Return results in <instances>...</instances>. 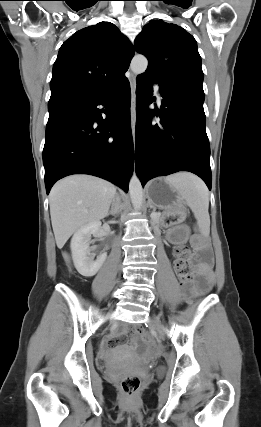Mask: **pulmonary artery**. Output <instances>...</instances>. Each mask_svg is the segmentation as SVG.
Here are the masks:
<instances>
[{
	"label": "pulmonary artery",
	"mask_w": 261,
	"mask_h": 427,
	"mask_svg": "<svg viewBox=\"0 0 261 427\" xmlns=\"http://www.w3.org/2000/svg\"><path fill=\"white\" fill-rule=\"evenodd\" d=\"M154 91H155V94L157 96L158 101L161 102L162 101V96L160 94V90H159L158 85H154Z\"/></svg>",
	"instance_id": "pulmonary-artery-1"
}]
</instances>
